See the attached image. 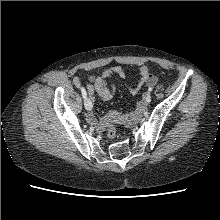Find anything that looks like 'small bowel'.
<instances>
[{
	"mask_svg": "<svg viewBox=\"0 0 220 220\" xmlns=\"http://www.w3.org/2000/svg\"><path fill=\"white\" fill-rule=\"evenodd\" d=\"M138 73L140 76L138 84L130 88V92L133 95H136L143 86H152L157 83V78L150 72L147 66H140ZM113 76L124 78L125 71L119 66H114L106 69L100 75H93L89 78V83L86 87L92 100L95 93L104 101H108L113 97L115 87L109 83V79ZM142 106L143 104L140 103L139 108ZM109 118H112V116L110 115ZM87 121L93 125H99L101 128H103L106 123V119L99 120L94 114H89Z\"/></svg>",
	"mask_w": 220,
	"mask_h": 220,
	"instance_id": "1",
	"label": "small bowel"
}]
</instances>
